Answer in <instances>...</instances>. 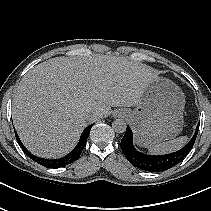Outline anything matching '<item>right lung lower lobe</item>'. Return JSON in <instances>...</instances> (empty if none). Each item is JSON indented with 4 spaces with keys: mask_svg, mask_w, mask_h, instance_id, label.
<instances>
[{
    "mask_svg": "<svg viewBox=\"0 0 211 211\" xmlns=\"http://www.w3.org/2000/svg\"><path fill=\"white\" fill-rule=\"evenodd\" d=\"M91 128H92V125L86 127L81 134V137H80V140H79L77 146L69 154H67L65 157L60 158V159H44V158H40V157H37V156L31 154L25 148V146L22 144L18 135L17 134H15V135H16V139H17L19 145L21 146L24 153L29 158H31L32 160H34L35 162L39 163L42 166H45V167H48V168H59V167H63V166H66L68 164H71L79 158V156L82 153V150L84 149V147L86 145V141H87V138L89 136Z\"/></svg>",
    "mask_w": 211,
    "mask_h": 211,
    "instance_id": "right-lung-lower-lobe-1",
    "label": "right lung lower lobe"
}]
</instances>
